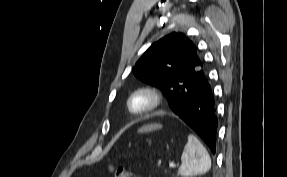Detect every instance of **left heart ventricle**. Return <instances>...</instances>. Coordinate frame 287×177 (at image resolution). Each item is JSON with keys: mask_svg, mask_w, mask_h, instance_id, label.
<instances>
[{"mask_svg": "<svg viewBox=\"0 0 287 177\" xmlns=\"http://www.w3.org/2000/svg\"><path fill=\"white\" fill-rule=\"evenodd\" d=\"M147 103V99L145 97H138L134 100L133 102V107L135 109H141L142 107H144Z\"/></svg>", "mask_w": 287, "mask_h": 177, "instance_id": "obj_1", "label": "left heart ventricle"}]
</instances>
